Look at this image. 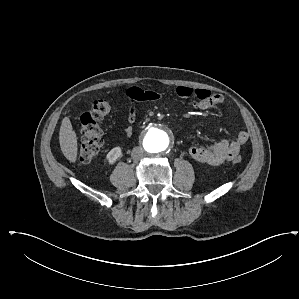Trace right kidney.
<instances>
[{"label":"right kidney","instance_id":"right-kidney-1","mask_svg":"<svg viewBox=\"0 0 299 299\" xmlns=\"http://www.w3.org/2000/svg\"><path fill=\"white\" fill-rule=\"evenodd\" d=\"M122 155V149L120 147H115L109 151L106 156L109 164H114Z\"/></svg>","mask_w":299,"mask_h":299}]
</instances>
